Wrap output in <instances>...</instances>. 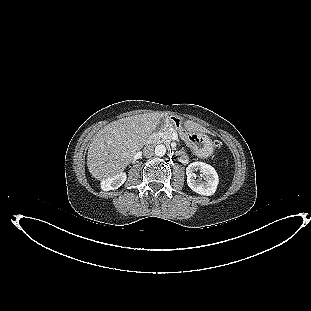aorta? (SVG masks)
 Here are the masks:
<instances>
[{"mask_svg":"<svg viewBox=\"0 0 311 311\" xmlns=\"http://www.w3.org/2000/svg\"><path fill=\"white\" fill-rule=\"evenodd\" d=\"M165 153H166V147L164 145L161 144L155 147V155L161 157V156H164Z\"/></svg>","mask_w":311,"mask_h":311,"instance_id":"aorta-1","label":"aorta"}]
</instances>
